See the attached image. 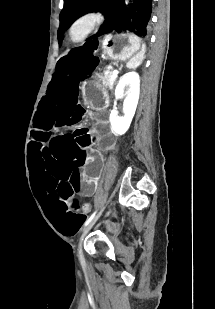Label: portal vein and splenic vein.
<instances>
[{"label": "portal vein and splenic vein", "instance_id": "portal-vein-and-splenic-vein-1", "mask_svg": "<svg viewBox=\"0 0 215 309\" xmlns=\"http://www.w3.org/2000/svg\"><path fill=\"white\" fill-rule=\"evenodd\" d=\"M118 72H119V70H113L111 80H113V78H117Z\"/></svg>", "mask_w": 215, "mask_h": 309}]
</instances>
